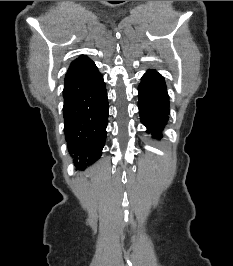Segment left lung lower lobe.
<instances>
[{
  "mask_svg": "<svg viewBox=\"0 0 233 266\" xmlns=\"http://www.w3.org/2000/svg\"><path fill=\"white\" fill-rule=\"evenodd\" d=\"M138 92L141 122L148 133L161 138L170 113L164 77L155 70H148L141 79Z\"/></svg>",
  "mask_w": 233,
  "mask_h": 266,
  "instance_id": "obj_1",
  "label": "left lung lower lobe"
}]
</instances>
